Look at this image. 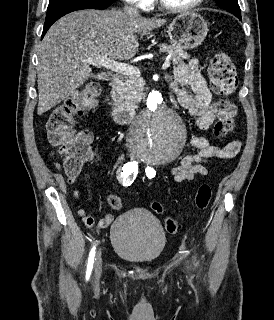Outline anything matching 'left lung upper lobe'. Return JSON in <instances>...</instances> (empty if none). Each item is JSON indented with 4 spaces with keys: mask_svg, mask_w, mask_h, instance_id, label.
Instances as JSON below:
<instances>
[{
    "mask_svg": "<svg viewBox=\"0 0 274 320\" xmlns=\"http://www.w3.org/2000/svg\"><path fill=\"white\" fill-rule=\"evenodd\" d=\"M216 4L231 13H241L237 0H215Z\"/></svg>",
    "mask_w": 274,
    "mask_h": 320,
    "instance_id": "5c2ea615",
    "label": "left lung upper lobe"
}]
</instances>
